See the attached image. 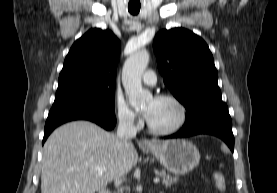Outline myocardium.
I'll list each match as a JSON object with an SVG mask.
<instances>
[{
    "instance_id": "f54148a6",
    "label": "myocardium",
    "mask_w": 277,
    "mask_h": 193,
    "mask_svg": "<svg viewBox=\"0 0 277 193\" xmlns=\"http://www.w3.org/2000/svg\"><path fill=\"white\" fill-rule=\"evenodd\" d=\"M155 99L168 100V101H171L172 103H174L179 110V119H178V122L174 126L167 128V129L155 128L147 120L146 125H147L149 132H151L154 135H158V136H168V135H172V134L178 132L185 125V123L187 121V109H186V106L184 105V103L178 97H176L172 94H159L155 97Z\"/></svg>"
}]
</instances>
